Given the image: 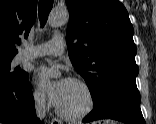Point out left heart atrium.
<instances>
[{
  "label": "left heart atrium",
  "instance_id": "1",
  "mask_svg": "<svg viewBox=\"0 0 156 124\" xmlns=\"http://www.w3.org/2000/svg\"><path fill=\"white\" fill-rule=\"evenodd\" d=\"M37 77L48 88L53 100L57 103L60 100L69 79L60 78L51 80L50 69L48 67L39 68L37 70Z\"/></svg>",
  "mask_w": 156,
  "mask_h": 124
}]
</instances>
